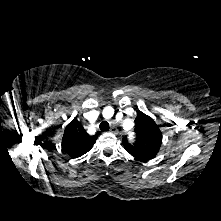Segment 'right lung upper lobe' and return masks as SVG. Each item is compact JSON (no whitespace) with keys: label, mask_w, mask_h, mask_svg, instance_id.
Here are the masks:
<instances>
[{"label":"right lung upper lobe","mask_w":221,"mask_h":221,"mask_svg":"<svg viewBox=\"0 0 221 221\" xmlns=\"http://www.w3.org/2000/svg\"><path fill=\"white\" fill-rule=\"evenodd\" d=\"M97 137V135L89 136L74 118L65 128L62 148L70 158H78L92 148Z\"/></svg>","instance_id":"1"}]
</instances>
